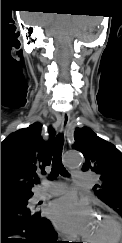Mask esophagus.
I'll return each mask as SVG.
<instances>
[{"mask_svg": "<svg viewBox=\"0 0 122 243\" xmlns=\"http://www.w3.org/2000/svg\"><path fill=\"white\" fill-rule=\"evenodd\" d=\"M70 115L68 113H63L61 117V128L60 131L65 135L67 127L69 125Z\"/></svg>", "mask_w": 122, "mask_h": 243, "instance_id": "esophagus-1", "label": "esophagus"}]
</instances>
